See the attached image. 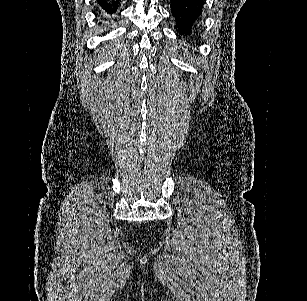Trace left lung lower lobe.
Wrapping results in <instances>:
<instances>
[{
    "instance_id": "0a47b994",
    "label": "left lung lower lobe",
    "mask_w": 307,
    "mask_h": 301,
    "mask_svg": "<svg viewBox=\"0 0 307 301\" xmlns=\"http://www.w3.org/2000/svg\"><path fill=\"white\" fill-rule=\"evenodd\" d=\"M177 33L187 37L201 21L204 0H170Z\"/></svg>"
}]
</instances>
